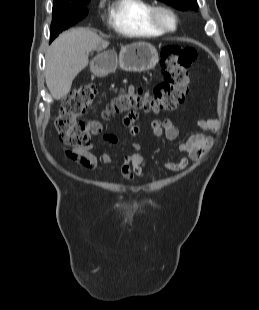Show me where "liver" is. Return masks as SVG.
Masks as SVG:
<instances>
[{
	"instance_id": "1",
	"label": "liver",
	"mask_w": 259,
	"mask_h": 310,
	"mask_svg": "<svg viewBox=\"0 0 259 310\" xmlns=\"http://www.w3.org/2000/svg\"><path fill=\"white\" fill-rule=\"evenodd\" d=\"M109 42L86 28H75L60 34L46 53L45 79L54 99L65 97L75 77L89 63L92 50H102Z\"/></svg>"
}]
</instances>
